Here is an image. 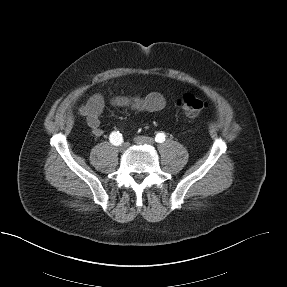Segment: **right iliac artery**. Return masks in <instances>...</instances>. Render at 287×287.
<instances>
[{
	"mask_svg": "<svg viewBox=\"0 0 287 287\" xmlns=\"http://www.w3.org/2000/svg\"><path fill=\"white\" fill-rule=\"evenodd\" d=\"M109 140L113 145L118 146L123 142V137L119 131H114L110 134Z\"/></svg>",
	"mask_w": 287,
	"mask_h": 287,
	"instance_id": "obj_1",
	"label": "right iliac artery"
}]
</instances>
